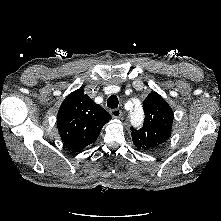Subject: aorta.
I'll list each match as a JSON object with an SVG mask.
<instances>
[{
  "label": "aorta",
  "mask_w": 221,
  "mask_h": 221,
  "mask_svg": "<svg viewBox=\"0 0 221 221\" xmlns=\"http://www.w3.org/2000/svg\"><path fill=\"white\" fill-rule=\"evenodd\" d=\"M129 115L131 117L132 123L139 124L142 119V112L141 110L136 107L132 106V108L129 110Z\"/></svg>",
  "instance_id": "762f6f07"
}]
</instances>
